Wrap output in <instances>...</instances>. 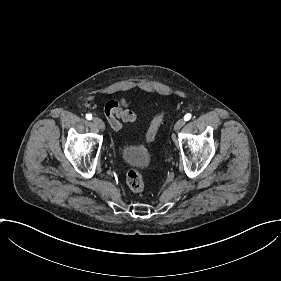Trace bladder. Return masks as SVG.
Returning a JSON list of instances; mask_svg holds the SVG:
<instances>
[{"label":"bladder","mask_w":281,"mask_h":281,"mask_svg":"<svg viewBox=\"0 0 281 281\" xmlns=\"http://www.w3.org/2000/svg\"><path fill=\"white\" fill-rule=\"evenodd\" d=\"M124 161L131 165H145L148 162V153L144 149L126 147L122 151Z\"/></svg>","instance_id":"31cf9c89"}]
</instances>
